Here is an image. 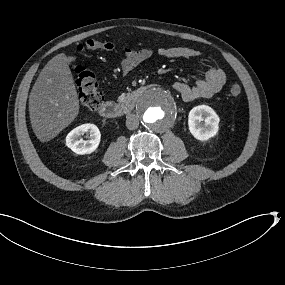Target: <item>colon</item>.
Returning a JSON list of instances; mask_svg holds the SVG:
<instances>
[{"label":"colon","mask_w":285,"mask_h":285,"mask_svg":"<svg viewBox=\"0 0 285 285\" xmlns=\"http://www.w3.org/2000/svg\"><path fill=\"white\" fill-rule=\"evenodd\" d=\"M114 50L115 44L107 41L88 39L83 44L77 46L79 52L90 50ZM76 84L79 89L81 104L87 110H97L103 103V95L99 89L97 78L93 72L78 65L74 69ZM230 95L236 97L241 94V87L238 84H232L229 88Z\"/></svg>","instance_id":"colon-1"}]
</instances>
